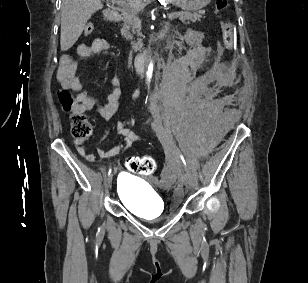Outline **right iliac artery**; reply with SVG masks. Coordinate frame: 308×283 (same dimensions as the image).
Masks as SVG:
<instances>
[{
    "mask_svg": "<svg viewBox=\"0 0 308 283\" xmlns=\"http://www.w3.org/2000/svg\"><path fill=\"white\" fill-rule=\"evenodd\" d=\"M111 172H112V168L109 169L108 176L111 174Z\"/></svg>",
    "mask_w": 308,
    "mask_h": 283,
    "instance_id": "82829eb1",
    "label": "right iliac artery"
}]
</instances>
